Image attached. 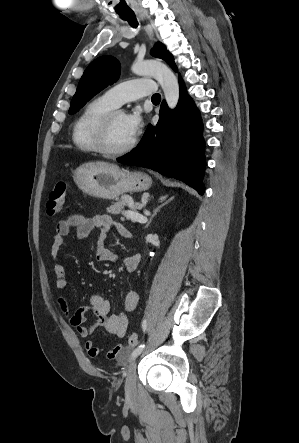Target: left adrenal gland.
I'll return each mask as SVG.
<instances>
[{
    "label": "left adrenal gland",
    "mask_w": 299,
    "mask_h": 443,
    "mask_svg": "<svg viewBox=\"0 0 299 443\" xmlns=\"http://www.w3.org/2000/svg\"><path fill=\"white\" fill-rule=\"evenodd\" d=\"M166 198H167V196H165V197H161V198L159 199V201H160L161 203H162V202H163V203H162L160 206H158V207L154 210L152 216L150 217L149 222H148L147 225H146L147 228H148V226L151 224L153 218H154V217L157 215V213L160 211V209L163 208L165 205H167V204L172 200V198H170L169 200L165 201ZM164 201H165V202H164Z\"/></svg>",
    "instance_id": "1"
}]
</instances>
